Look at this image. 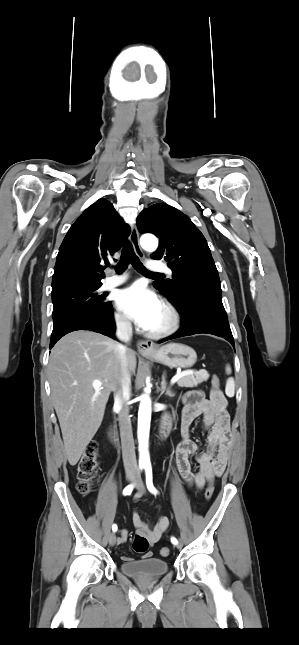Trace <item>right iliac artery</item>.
<instances>
[{
	"mask_svg": "<svg viewBox=\"0 0 299 645\" xmlns=\"http://www.w3.org/2000/svg\"><path fill=\"white\" fill-rule=\"evenodd\" d=\"M133 487H134V485H133V484H130V485L126 486V487H125V489L123 490V494H124V495H130V494H131V492H132V490H133ZM112 530H113L114 532H116V531H117V525H115V524H114V525L112 526Z\"/></svg>",
	"mask_w": 299,
	"mask_h": 645,
	"instance_id": "1",
	"label": "right iliac artery"
}]
</instances>
